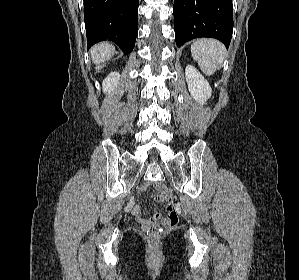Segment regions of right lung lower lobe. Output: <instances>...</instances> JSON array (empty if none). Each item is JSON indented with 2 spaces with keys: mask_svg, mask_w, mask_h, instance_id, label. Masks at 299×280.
I'll use <instances>...</instances> for the list:
<instances>
[{
  "mask_svg": "<svg viewBox=\"0 0 299 280\" xmlns=\"http://www.w3.org/2000/svg\"><path fill=\"white\" fill-rule=\"evenodd\" d=\"M139 0H84L88 49L103 40L115 42L129 54L138 30Z\"/></svg>",
  "mask_w": 299,
  "mask_h": 280,
  "instance_id": "1",
  "label": "right lung lower lobe"
}]
</instances>
